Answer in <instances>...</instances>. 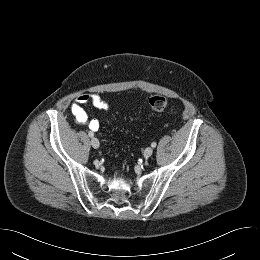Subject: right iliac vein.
<instances>
[{
  "label": "right iliac vein",
  "instance_id": "right-iliac-vein-1",
  "mask_svg": "<svg viewBox=\"0 0 260 260\" xmlns=\"http://www.w3.org/2000/svg\"><path fill=\"white\" fill-rule=\"evenodd\" d=\"M91 145L95 149L99 148V140L97 138L93 137L91 139Z\"/></svg>",
  "mask_w": 260,
  "mask_h": 260
}]
</instances>
